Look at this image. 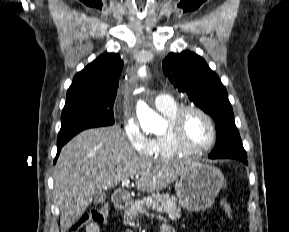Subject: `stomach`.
Segmentation results:
<instances>
[{"mask_svg": "<svg viewBox=\"0 0 289 232\" xmlns=\"http://www.w3.org/2000/svg\"><path fill=\"white\" fill-rule=\"evenodd\" d=\"M224 181V175L218 168L199 162L191 163L177 182L179 204L188 211L206 210L214 203Z\"/></svg>", "mask_w": 289, "mask_h": 232, "instance_id": "1", "label": "stomach"}]
</instances>
